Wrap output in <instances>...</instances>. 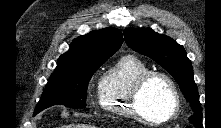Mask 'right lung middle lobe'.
<instances>
[{
  "instance_id": "dd1d6c3e",
  "label": "right lung middle lobe",
  "mask_w": 221,
  "mask_h": 128,
  "mask_svg": "<svg viewBox=\"0 0 221 128\" xmlns=\"http://www.w3.org/2000/svg\"><path fill=\"white\" fill-rule=\"evenodd\" d=\"M108 58L69 70L54 71L36 106L34 116L53 105L85 108L88 82Z\"/></svg>"
}]
</instances>
